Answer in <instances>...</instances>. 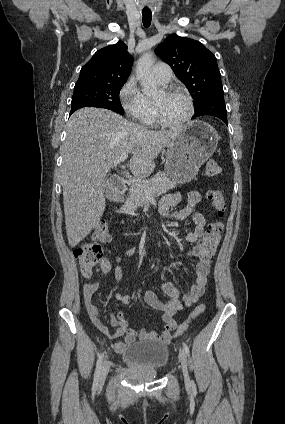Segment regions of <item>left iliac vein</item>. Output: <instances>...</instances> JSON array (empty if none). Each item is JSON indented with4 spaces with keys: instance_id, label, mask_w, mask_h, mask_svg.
Instances as JSON below:
<instances>
[{
    "instance_id": "left-iliac-vein-1",
    "label": "left iliac vein",
    "mask_w": 285,
    "mask_h": 424,
    "mask_svg": "<svg viewBox=\"0 0 285 424\" xmlns=\"http://www.w3.org/2000/svg\"><path fill=\"white\" fill-rule=\"evenodd\" d=\"M179 360H180L181 367H182L184 381L187 385H189L190 384V378H189V374H188V361H187V356H186V353H185L184 350L179 351Z\"/></svg>"
}]
</instances>
